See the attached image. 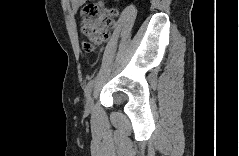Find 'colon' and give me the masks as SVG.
Masks as SVG:
<instances>
[{"instance_id": "1", "label": "colon", "mask_w": 239, "mask_h": 156, "mask_svg": "<svg viewBox=\"0 0 239 156\" xmlns=\"http://www.w3.org/2000/svg\"><path fill=\"white\" fill-rule=\"evenodd\" d=\"M114 8H106L99 4H86L81 10L80 28L89 42L85 43L87 50H94L109 38L113 17L116 15Z\"/></svg>"}]
</instances>
